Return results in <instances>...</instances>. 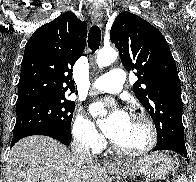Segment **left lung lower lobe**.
I'll list each match as a JSON object with an SVG mask.
<instances>
[{
    "instance_id": "1",
    "label": "left lung lower lobe",
    "mask_w": 196,
    "mask_h": 182,
    "mask_svg": "<svg viewBox=\"0 0 196 182\" xmlns=\"http://www.w3.org/2000/svg\"><path fill=\"white\" fill-rule=\"evenodd\" d=\"M158 150H170V151H174L176 153H179L180 155L184 156L185 158L187 157V150L185 147V144H179V143H165L162 145H156L154 148V151H158ZM187 162L189 163V160L186 159Z\"/></svg>"
}]
</instances>
